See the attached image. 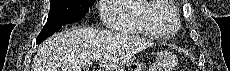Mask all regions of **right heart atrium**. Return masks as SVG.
Listing matches in <instances>:
<instances>
[{"mask_svg":"<svg viewBox=\"0 0 230 71\" xmlns=\"http://www.w3.org/2000/svg\"><path fill=\"white\" fill-rule=\"evenodd\" d=\"M123 0H102L101 3L103 4L102 5V9L100 11V14L103 18V21L109 25L110 23V17L108 15V12H107V7L113 3H117V2H121Z\"/></svg>","mask_w":230,"mask_h":71,"instance_id":"right-heart-atrium-1","label":"right heart atrium"}]
</instances>
